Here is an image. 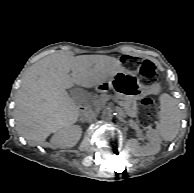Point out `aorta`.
Masks as SVG:
<instances>
[{"label": "aorta", "mask_w": 194, "mask_h": 193, "mask_svg": "<svg viewBox=\"0 0 194 193\" xmlns=\"http://www.w3.org/2000/svg\"><path fill=\"white\" fill-rule=\"evenodd\" d=\"M116 115H117V111L111 108L106 109L103 113V117L108 120L114 118Z\"/></svg>", "instance_id": "aorta-1"}]
</instances>
